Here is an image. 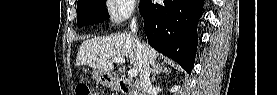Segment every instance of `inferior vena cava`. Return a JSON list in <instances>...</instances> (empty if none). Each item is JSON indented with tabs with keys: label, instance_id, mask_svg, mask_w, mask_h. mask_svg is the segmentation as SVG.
I'll return each mask as SVG.
<instances>
[{
	"label": "inferior vena cava",
	"instance_id": "602c4592",
	"mask_svg": "<svg viewBox=\"0 0 277 95\" xmlns=\"http://www.w3.org/2000/svg\"><path fill=\"white\" fill-rule=\"evenodd\" d=\"M130 29H131V33H133V35L136 36L135 35L137 32L136 18H133L131 20ZM135 42H136V48H137L140 87L143 95H147V94L149 95V93L151 92L152 86L149 78L150 74H149L148 57L143 44H141V42L137 38H135Z\"/></svg>",
	"mask_w": 277,
	"mask_h": 95
}]
</instances>
